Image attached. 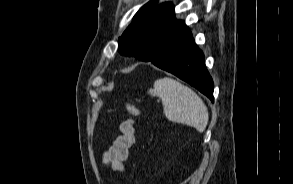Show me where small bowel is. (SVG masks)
I'll list each match as a JSON object with an SVG mask.
<instances>
[{"instance_id":"1","label":"small bowel","mask_w":293,"mask_h":184,"mask_svg":"<svg viewBox=\"0 0 293 184\" xmlns=\"http://www.w3.org/2000/svg\"><path fill=\"white\" fill-rule=\"evenodd\" d=\"M120 135L106 151L103 163L114 171H122L124 162L128 159L129 150L135 143V122L126 119L120 123Z\"/></svg>"}]
</instances>
